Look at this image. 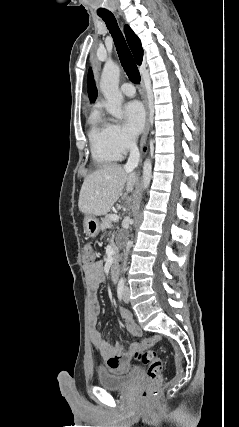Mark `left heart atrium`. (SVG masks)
Instances as JSON below:
<instances>
[{
  "label": "left heart atrium",
  "instance_id": "1",
  "mask_svg": "<svg viewBox=\"0 0 239 427\" xmlns=\"http://www.w3.org/2000/svg\"><path fill=\"white\" fill-rule=\"evenodd\" d=\"M124 115L127 131L133 136L138 135L145 125V112L141 103L132 101L126 104Z\"/></svg>",
  "mask_w": 239,
  "mask_h": 427
}]
</instances>
